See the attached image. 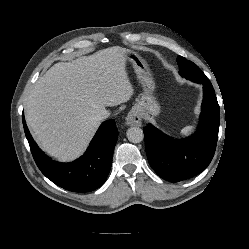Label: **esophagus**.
<instances>
[{
    "label": "esophagus",
    "instance_id": "obj_1",
    "mask_svg": "<svg viewBox=\"0 0 249 249\" xmlns=\"http://www.w3.org/2000/svg\"><path fill=\"white\" fill-rule=\"evenodd\" d=\"M141 123V117L136 111H131L126 117V124L128 126H141Z\"/></svg>",
    "mask_w": 249,
    "mask_h": 249
}]
</instances>
